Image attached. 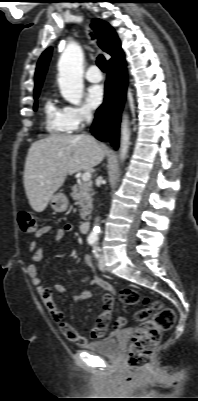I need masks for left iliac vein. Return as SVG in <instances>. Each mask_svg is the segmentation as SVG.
Masks as SVG:
<instances>
[{
	"label": "left iliac vein",
	"mask_w": 198,
	"mask_h": 401,
	"mask_svg": "<svg viewBox=\"0 0 198 401\" xmlns=\"http://www.w3.org/2000/svg\"><path fill=\"white\" fill-rule=\"evenodd\" d=\"M98 267L101 271L106 270L105 259L104 256L101 254L98 261Z\"/></svg>",
	"instance_id": "4c4485c4"
}]
</instances>
